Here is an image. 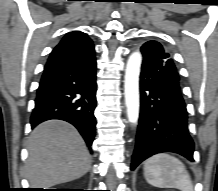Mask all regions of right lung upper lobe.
Here are the masks:
<instances>
[{"label":"right lung upper lobe","mask_w":218,"mask_h":191,"mask_svg":"<svg viewBox=\"0 0 218 191\" xmlns=\"http://www.w3.org/2000/svg\"><path fill=\"white\" fill-rule=\"evenodd\" d=\"M70 34H73V35L79 36V37H88L86 34H84L83 32H80V31H74V32H71Z\"/></svg>","instance_id":"1"}]
</instances>
